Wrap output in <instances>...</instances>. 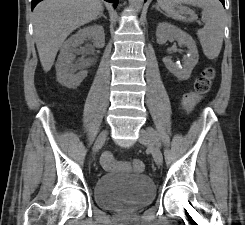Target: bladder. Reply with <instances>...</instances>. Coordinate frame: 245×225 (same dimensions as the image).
<instances>
[{"label": "bladder", "mask_w": 245, "mask_h": 225, "mask_svg": "<svg viewBox=\"0 0 245 225\" xmlns=\"http://www.w3.org/2000/svg\"><path fill=\"white\" fill-rule=\"evenodd\" d=\"M156 188L144 173H106L94 184L95 204L106 211L132 212L151 204Z\"/></svg>", "instance_id": "1"}]
</instances>
